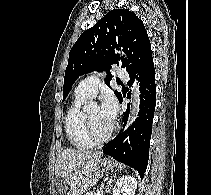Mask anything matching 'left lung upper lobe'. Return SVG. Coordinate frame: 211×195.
I'll list each match as a JSON object with an SVG mask.
<instances>
[{
	"label": "left lung upper lobe",
	"mask_w": 211,
	"mask_h": 195,
	"mask_svg": "<svg viewBox=\"0 0 211 195\" xmlns=\"http://www.w3.org/2000/svg\"><path fill=\"white\" fill-rule=\"evenodd\" d=\"M121 47L128 60L115 54L114 49ZM151 58V44L142 20L130 10H112L94 27L83 32L71 48L64 77L63 101L76 79L83 74L105 70L109 86L112 64H122V68L132 75ZM128 61L133 63L129 65ZM115 95L120 100L121 93L115 92Z\"/></svg>",
	"instance_id": "1"
}]
</instances>
